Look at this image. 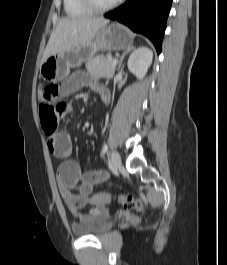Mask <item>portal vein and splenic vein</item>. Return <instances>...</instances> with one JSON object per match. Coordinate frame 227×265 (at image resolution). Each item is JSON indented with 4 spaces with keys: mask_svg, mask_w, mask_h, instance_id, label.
Masks as SVG:
<instances>
[{
    "mask_svg": "<svg viewBox=\"0 0 227 265\" xmlns=\"http://www.w3.org/2000/svg\"><path fill=\"white\" fill-rule=\"evenodd\" d=\"M112 63H113L114 65H116V64H117V60H116V59H113Z\"/></svg>",
    "mask_w": 227,
    "mask_h": 265,
    "instance_id": "portal-vein-and-splenic-vein-1",
    "label": "portal vein and splenic vein"
}]
</instances>
